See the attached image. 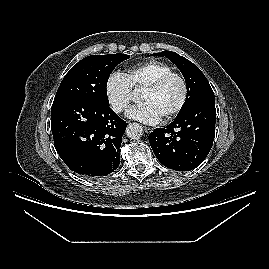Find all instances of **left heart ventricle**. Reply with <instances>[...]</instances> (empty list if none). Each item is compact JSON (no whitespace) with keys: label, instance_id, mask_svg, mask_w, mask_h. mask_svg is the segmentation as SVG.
I'll return each instance as SVG.
<instances>
[{"label":"left heart ventricle","instance_id":"left-heart-ventricle-1","mask_svg":"<svg viewBox=\"0 0 269 269\" xmlns=\"http://www.w3.org/2000/svg\"><path fill=\"white\" fill-rule=\"evenodd\" d=\"M183 93L181 81L173 77L158 91L143 90L141 100L149 102L156 109L161 118L173 110L179 103Z\"/></svg>","mask_w":269,"mask_h":269}]
</instances>
